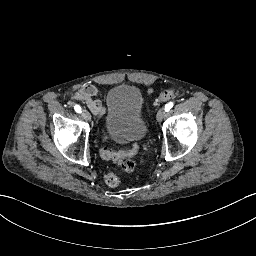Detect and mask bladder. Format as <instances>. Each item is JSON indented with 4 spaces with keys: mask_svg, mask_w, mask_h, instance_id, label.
<instances>
[{
    "mask_svg": "<svg viewBox=\"0 0 256 256\" xmlns=\"http://www.w3.org/2000/svg\"><path fill=\"white\" fill-rule=\"evenodd\" d=\"M106 101L108 106L104 118L106 136L121 123L136 122L146 126L141 118L143 99L138 88L128 85L115 86L108 91Z\"/></svg>",
    "mask_w": 256,
    "mask_h": 256,
    "instance_id": "obj_1",
    "label": "bladder"
}]
</instances>
